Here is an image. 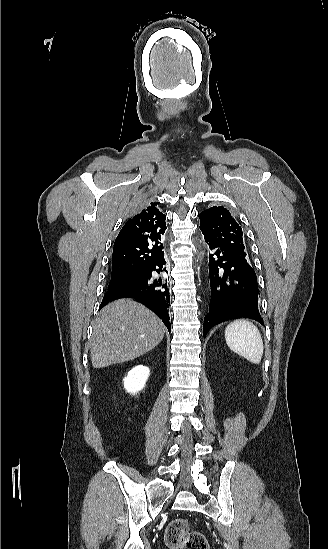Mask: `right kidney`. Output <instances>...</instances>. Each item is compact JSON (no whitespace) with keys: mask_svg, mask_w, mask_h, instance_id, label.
Instances as JSON below:
<instances>
[{"mask_svg":"<svg viewBox=\"0 0 328 549\" xmlns=\"http://www.w3.org/2000/svg\"><path fill=\"white\" fill-rule=\"evenodd\" d=\"M149 377V369L148 367H143V365H137V367H134V369H131L129 371L127 377H124V387L127 391V393H138V391H142L143 387H145V383Z\"/></svg>","mask_w":328,"mask_h":549,"instance_id":"1","label":"right kidney"}]
</instances>
